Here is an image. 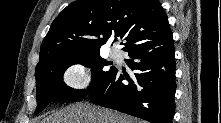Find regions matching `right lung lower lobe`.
<instances>
[{
    "instance_id": "98d812e1",
    "label": "right lung lower lobe",
    "mask_w": 221,
    "mask_h": 123,
    "mask_svg": "<svg viewBox=\"0 0 221 123\" xmlns=\"http://www.w3.org/2000/svg\"><path fill=\"white\" fill-rule=\"evenodd\" d=\"M127 52L131 59L126 63L136 73L129 76L115 68L89 91L90 101L150 123H172L176 91L172 34Z\"/></svg>"
}]
</instances>
